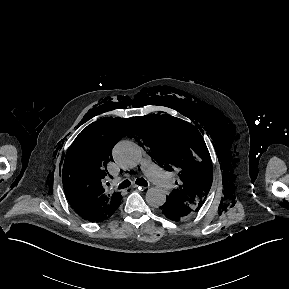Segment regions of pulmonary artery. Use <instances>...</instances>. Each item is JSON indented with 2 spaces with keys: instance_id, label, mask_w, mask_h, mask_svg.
I'll use <instances>...</instances> for the list:
<instances>
[{
  "instance_id": "pulmonary-artery-1",
  "label": "pulmonary artery",
  "mask_w": 289,
  "mask_h": 289,
  "mask_svg": "<svg viewBox=\"0 0 289 289\" xmlns=\"http://www.w3.org/2000/svg\"><path fill=\"white\" fill-rule=\"evenodd\" d=\"M141 169L160 189L166 191L172 188L173 184L170 177L159 166H157L149 156L145 155L143 157L141 161Z\"/></svg>"
}]
</instances>
